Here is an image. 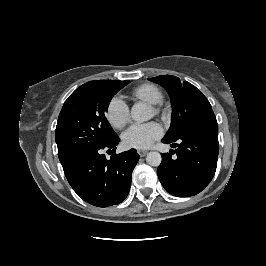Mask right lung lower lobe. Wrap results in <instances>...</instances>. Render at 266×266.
Here are the masks:
<instances>
[{
    "instance_id": "1",
    "label": "right lung lower lobe",
    "mask_w": 266,
    "mask_h": 266,
    "mask_svg": "<svg viewBox=\"0 0 266 266\" xmlns=\"http://www.w3.org/2000/svg\"><path fill=\"white\" fill-rule=\"evenodd\" d=\"M119 141L116 136L106 145L80 153L62 165L73 190L89 204L98 207L116 205L129 193L131 174L139 155L135 149L115 154ZM102 149L113 151L109 160L101 154Z\"/></svg>"
}]
</instances>
